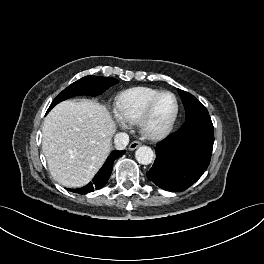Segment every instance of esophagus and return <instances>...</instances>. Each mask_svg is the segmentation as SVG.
Instances as JSON below:
<instances>
[{
    "mask_svg": "<svg viewBox=\"0 0 264 264\" xmlns=\"http://www.w3.org/2000/svg\"><path fill=\"white\" fill-rule=\"evenodd\" d=\"M141 145V143L139 141H133L130 143L128 149L129 150H135L136 148H138Z\"/></svg>",
    "mask_w": 264,
    "mask_h": 264,
    "instance_id": "34e87169",
    "label": "esophagus"
}]
</instances>
